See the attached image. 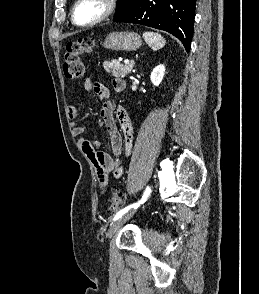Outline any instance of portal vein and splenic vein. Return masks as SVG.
<instances>
[{"label": "portal vein and splenic vein", "instance_id": "portal-vein-and-splenic-vein-1", "mask_svg": "<svg viewBox=\"0 0 259 294\" xmlns=\"http://www.w3.org/2000/svg\"><path fill=\"white\" fill-rule=\"evenodd\" d=\"M124 63H125L126 65H128V64H130V61H129L128 59H126V60H124Z\"/></svg>", "mask_w": 259, "mask_h": 294}]
</instances>
